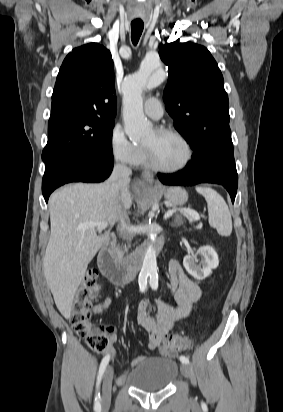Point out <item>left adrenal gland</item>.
I'll use <instances>...</instances> for the list:
<instances>
[{
  "label": "left adrenal gland",
  "mask_w": 283,
  "mask_h": 412,
  "mask_svg": "<svg viewBox=\"0 0 283 412\" xmlns=\"http://www.w3.org/2000/svg\"><path fill=\"white\" fill-rule=\"evenodd\" d=\"M174 225H177V224H171V226H174Z\"/></svg>",
  "instance_id": "left-adrenal-gland-1"
}]
</instances>
